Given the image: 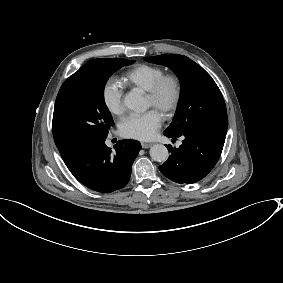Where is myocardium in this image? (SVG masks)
Returning a JSON list of instances; mask_svg holds the SVG:
<instances>
[{"label": "myocardium", "instance_id": "1", "mask_svg": "<svg viewBox=\"0 0 283 283\" xmlns=\"http://www.w3.org/2000/svg\"><path fill=\"white\" fill-rule=\"evenodd\" d=\"M166 86H170L171 95L168 102L164 105L162 113L170 115L177 109L181 97V84L175 75H162L147 90V95L152 101H157L161 98Z\"/></svg>", "mask_w": 283, "mask_h": 283}]
</instances>
